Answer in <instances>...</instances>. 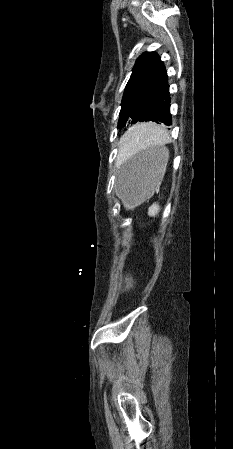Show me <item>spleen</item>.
Listing matches in <instances>:
<instances>
[{
  "mask_svg": "<svg viewBox=\"0 0 233 449\" xmlns=\"http://www.w3.org/2000/svg\"><path fill=\"white\" fill-rule=\"evenodd\" d=\"M163 124L143 125L136 124L134 130L129 131L123 138L121 153L126 154L135 148H142L145 145H154L163 140ZM165 169V168H164ZM160 207L157 203L152 204L148 209V215L154 217L158 214Z\"/></svg>",
  "mask_w": 233,
  "mask_h": 449,
  "instance_id": "obj_1",
  "label": "spleen"
}]
</instances>
